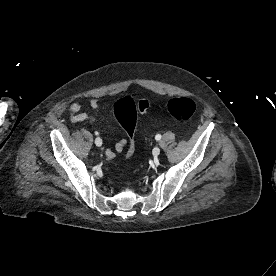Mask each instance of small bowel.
Wrapping results in <instances>:
<instances>
[{
    "instance_id": "c3829d8e",
    "label": "small bowel",
    "mask_w": 276,
    "mask_h": 276,
    "mask_svg": "<svg viewBox=\"0 0 276 276\" xmlns=\"http://www.w3.org/2000/svg\"><path fill=\"white\" fill-rule=\"evenodd\" d=\"M101 104H102V100L100 98H93L89 101V107L92 109L100 108ZM70 112H71V116H70L71 123H79L84 121H90L93 123L95 122V118L90 116L84 111V106L81 103H73L70 106ZM126 144H127V140L122 139L115 145L113 150L107 149L105 151L106 157L108 159L114 158L117 153H120L123 151Z\"/></svg>"
}]
</instances>
